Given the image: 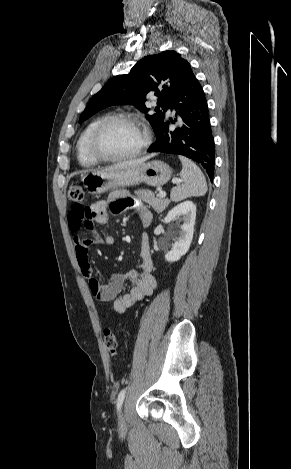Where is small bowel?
<instances>
[{
  "instance_id": "small-bowel-1",
  "label": "small bowel",
  "mask_w": 291,
  "mask_h": 469,
  "mask_svg": "<svg viewBox=\"0 0 291 469\" xmlns=\"http://www.w3.org/2000/svg\"><path fill=\"white\" fill-rule=\"evenodd\" d=\"M135 210L140 226L146 229L152 220L151 213L140 202L135 201L125 191L111 192L104 200L94 202L87 213L77 211L75 207L68 214V226L73 234L76 258L81 274L88 281L91 294L99 301L113 303V309L118 314H124L137 301L153 294L157 287V280L152 274V259L150 244L146 233L142 235L140 244L141 265L138 271L128 273H109L106 282H100L93 276L89 262V251L96 245H112L115 241L111 234L94 240L83 237L85 231L93 230V224L109 226V211L119 214L128 210ZM130 283V290L122 294L125 282Z\"/></svg>"
}]
</instances>
